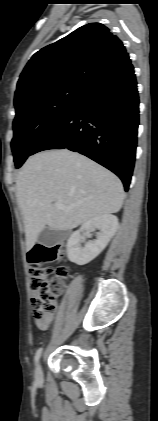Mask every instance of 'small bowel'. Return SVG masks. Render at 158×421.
Returning a JSON list of instances; mask_svg holds the SVG:
<instances>
[{"mask_svg": "<svg viewBox=\"0 0 158 421\" xmlns=\"http://www.w3.org/2000/svg\"><path fill=\"white\" fill-rule=\"evenodd\" d=\"M52 319H53V316H51V317H49V318H47L45 320L35 319V324H36V326H37L38 329L45 331V330L48 329V327H49Z\"/></svg>", "mask_w": 158, "mask_h": 421, "instance_id": "c3829d8e", "label": "small bowel"}]
</instances>
